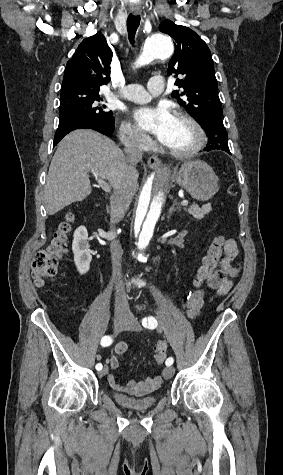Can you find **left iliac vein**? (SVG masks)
<instances>
[{
    "label": "left iliac vein",
    "instance_id": "4c4485c4",
    "mask_svg": "<svg viewBox=\"0 0 283 475\" xmlns=\"http://www.w3.org/2000/svg\"><path fill=\"white\" fill-rule=\"evenodd\" d=\"M127 319L128 321L126 322L123 330H135V331H142V327L139 324L138 320L132 315V314H127ZM174 368L173 367H166L163 369V377L164 379L168 380L173 377L174 375Z\"/></svg>",
    "mask_w": 283,
    "mask_h": 475
}]
</instances>
